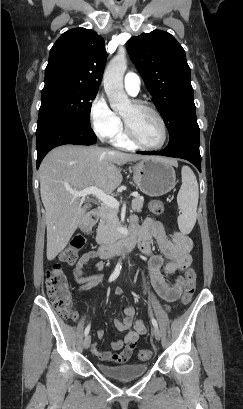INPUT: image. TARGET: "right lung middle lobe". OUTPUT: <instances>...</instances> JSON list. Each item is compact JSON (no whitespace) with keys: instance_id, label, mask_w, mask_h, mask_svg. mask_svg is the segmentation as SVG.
Returning a JSON list of instances; mask_svg holds the SVG:
<instances>
[{"instance_id":"1","label":"right lung middle lobe","mask_w":243,"mask_h":409,"mask_svg":"<svg viewBox=\"0 0 243 409\" xmlns=\"http://www.w3.org/2000/svg\"><path fill=\"white\" fill-rule=\"evenodd\" d=\"M97 90L61 80L45 81L38 127L49 121H65L90 127L91 101Z\"/></svg>"}]
</instances>
